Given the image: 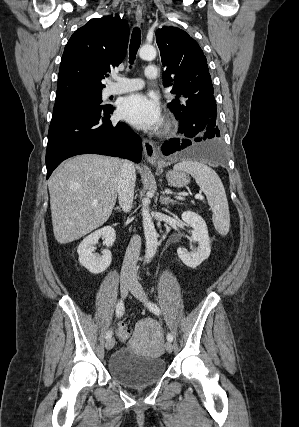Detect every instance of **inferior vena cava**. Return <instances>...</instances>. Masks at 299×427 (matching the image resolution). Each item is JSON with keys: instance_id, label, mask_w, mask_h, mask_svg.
<instances>
[{"instance_id": "1", "label": "inferior vena cava", "mask_w": 299, "mask_h": 427, "mask_svg": "<svg viewBox=\"0 0 299 427\" xmlns=\"http://www.w3.org/2000/svg\"><path fill=\"white\" fill-rule=\"evenodd\" d=\"M135 180L136 174L134 164L129 160H123L118 185V200L124 212H129L132 208ZM140 248L141 237L139 235H134L131 238L125 253L122 266L123 275L131 274L136 276V265L140 254Z\"/></svg>"}]
</instances>
